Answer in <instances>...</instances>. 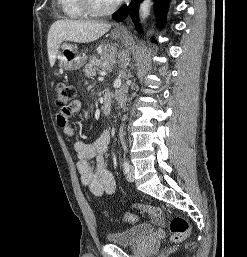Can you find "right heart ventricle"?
Returning <instances> with one entry per match:
<instances>
[{
	"instance_id": "obj_1",
	"label": "right heart ventricle",
	"mask_w": 247,
	"mask_h": 257,
	"mask_svg": "<svg viewBox=\"0 0 247 257\" xmlns=\"http://www.w3.org/2000/svg\"><path fill=\"white\" fill-rule=\"evenodd\" d=\"M58 4L64 17L68 19H80L87 16L81 8L79 0H58Z\"/></svg>"
}]
</instances>
